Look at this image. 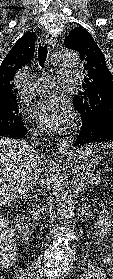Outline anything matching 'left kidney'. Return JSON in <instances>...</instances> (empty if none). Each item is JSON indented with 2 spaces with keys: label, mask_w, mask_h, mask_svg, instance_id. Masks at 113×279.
<instances>
[{
  "label": "left kidney",
  "mask_w": 113,
  "mask_h": 279,
  "mask_svg": "<svg viewBox=\"0 0 113 279\" xmlns=\"http://www.w3.org/2000/svg\"><path fill=\"white\" fill-rule=\"evenodd\" d=\"M113 224V218L107 210H103L98 213V220L95 223V235L97 236L98 243L106 241L107 235L111 231V226Z\"/></svg>",
  "instance_id": "left-kidney-1"
}]
</instances>
